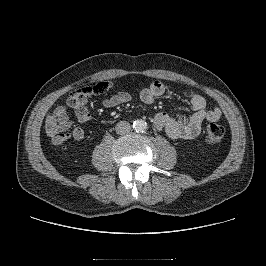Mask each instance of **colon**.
Returning a JSON list of instances; mask_svg holds the SVG:
<instances>
[{
    "instance_id": "colon-1",
    "label": "colon",
    "mask_w": 266,
    "mask_h": 266,
    "mask_svg": "<svg viewBox=\"0 0 266 266\" xmlns=\"http://www.w3.org/2000/svg\"><path fill=\"white\" fill-rule=\"evenodd\" d=\"M111 87L109 82H99L97 84L89 85L77 89L71 93L70 96L76 97H94L106 93ZM225 135V129L222 125L216 122H210L205 129V141L209 145H215L222 141Z\"/></svg>"
}]
</instances>
